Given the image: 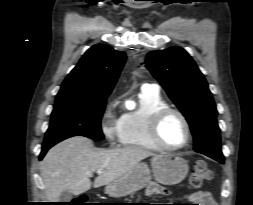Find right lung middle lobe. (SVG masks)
I'll use <instances>...</instances> for the list:
<instances>
[{"mask_svg":"<svg viewBox=\"0 0 253 205\" xmlns=\"http://www.w3.org/2000/svg\"><path fill=\"white\" fill-rule=\"evenodd\" d=\"M105 105L106 99L55 102L43 147L53 146L73 136H85L94 140L104 139L100 122Z\"/></svg>","mask_w":253,"mask_h":205,"instance_id":"1","label":"right lung middle lobe"}]
</instances>
